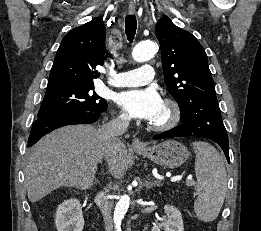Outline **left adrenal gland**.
Returning <instances> with one entry per match:
<instances>
[{"label":"left adrenal gland","mask_w":261,"mask_h":231,"mask_svg":"<svg viewBox=\"0 0 261 231\" xmlns=\"http://www.w3.org/2000/svg\"><path fill=\"white\" fill-rule=\"evenodd\" d=\"M144 186L147 188V189H151V188H153V187H156V186H158V187H160L161 186V183H160V181H157V180H151L150 178H149V176L147 177V179H146V181H145V183H144Z\"/></svg>","instance_id":"a2214340"}]
</instances>
